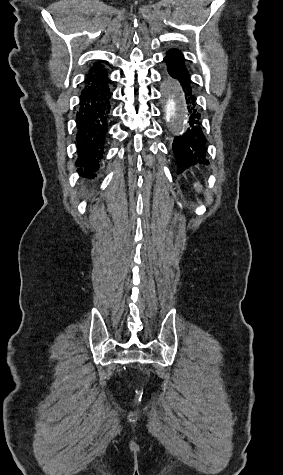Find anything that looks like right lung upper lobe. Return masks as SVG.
<instances>
[{"instance_id":"right-lung-upper-lobe-1","label":"right lung upper lobe","mask_w":283,"mask_h":475,"mask_svg":"<svg viewBox=\"0 0 283 475\" xmlns=\"http://www.w3.org/2000/svg\"><path fill=\"white\" fill-rule=\"evenodd\" d=\"M102 68H103V66L101 64H96L94 67H92L90 69V71H97V70H100Z\"/></svg>"}]
</instances>
